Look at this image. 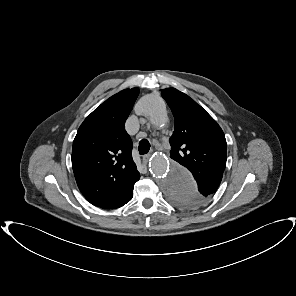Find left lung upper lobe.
<instances>
[{
    "label": "left lung upper lobe",
    "mask_w": 296,
    "mask_h": 296,
    "mask_svg": "<svg viewBox=\"0 0 296 296\" xmlns=\"http://www.w3.org/2000/svg\"><path fill=\"white\" fill-rule=\"evenodd\" d=\"M175 130L170 138L171 158L186 167L198 184V191H172L170 201L181 207L205 203L217 190L226 166L227 144L217 122L188 95L174 88L163 89Z\"/></svg>",
    "instance_id": "obj_1"
}]
</instances>
